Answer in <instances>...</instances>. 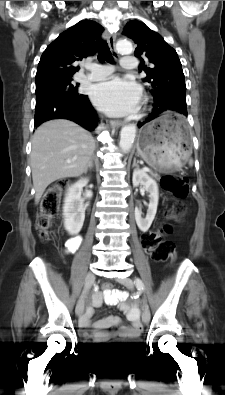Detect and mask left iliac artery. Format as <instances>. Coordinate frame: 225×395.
I'll use <instances>...</instances> for the list:
<instances>
[{"label": "left iliac artery", "instance_id": "44dca946", "mask_svg": "<svg viewBox=\"0 0 225 395\" xmlns=\"http://www.w3.org/2000/svg\"><path fill=\"white\" fill-rule=\"evenodd\" d=\"M134 282H135V285H136V287H137L138 290L143 291V292L145 291V287H144V284H143V282H142L141 279L136 278V279L134 280Z\"/></svg>", "mask_w": 225, "mask_h": 395}]
</instances>
